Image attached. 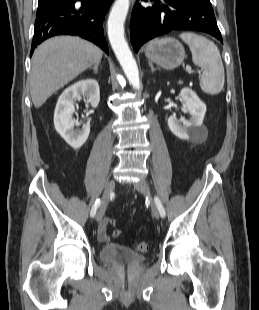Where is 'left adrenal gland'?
I'll use <instances>...</instances> for the list:
<instances>
[{"mask_svg": "<svg viewBox=\"0 0 259 310\" xmlns=\"http://www.w3.org/2000/svg\"><path fill=\"white\" fill-rule=\"evenodd\" d=\"M149 66H150V68H151V72L153 73V72L155 71V69H154L152 63H149Z\"/></svg>", "mask_w": 259, "mask_h": 310, "instance_id": "a2214340", "label": "left adrenal gland"}]
</instances>
